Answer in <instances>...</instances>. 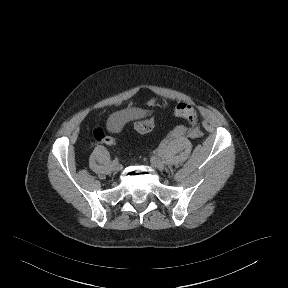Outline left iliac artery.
I'll list each match as a JSON object with an SVG mask.
<instances>
[{
    "instance_id": "44dca946",
    "label": "left iliac artery",
    "mask_w": 288,
    "mask_h": 288,
    "mask_svg": "<svg viewBox=\"0 0 288 288\" xmlns=\"http://www.w3.org/2000/svg\"><path fill=\"white\" fill-rule=\"evenodd\" d=\"M156 155L160 157V156H161V153H160V152H157Z\"/></svg>"
}]
</instances>
